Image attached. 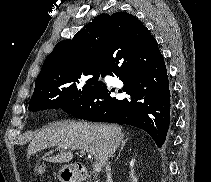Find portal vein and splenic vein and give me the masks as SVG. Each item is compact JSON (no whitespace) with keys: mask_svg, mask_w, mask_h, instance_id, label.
<instances>
[{"mask_svg":"<svg viewBox=\"0 0 211 182\" xmlns=\"http://www.w3.org/2000/svg\"><path fill=\"white\" fill-rule=\"evenodd\" d=\"M81 153L84 154L85 151L82 150ZM93 167H94V170H95L96 172H100V171H101V165H100L98 162H94V163H93Z\"/></svg>","mask_w":211,"mask_h":182,"instance_id":"1","label":"portal vein and splenic vein"}]
</instances>
